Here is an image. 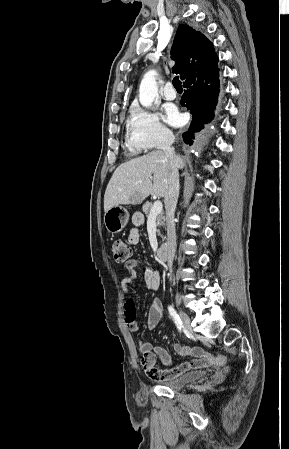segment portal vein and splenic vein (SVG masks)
I'll return each mask as SVG.
<instances>
[{
    "mask_svg": "<svg viewBox=\"0 0 289 449\" xmlns=\"http://www.w3.org/2000/svg\"><path fill=\"white\" fill-rule=\"evenodd\" d=\"M139 182L142 183L141 180ZM162 209H163L162 202L161 201H155L153 206H152V208H151L149 217L150 218L157 217L162 212Z\"/></svg>",
    "mask_w": 289,
    "mask_h": 449,
    "instance_id": "1",
    "label": "portal vein and splenic vein"
}]
</instances>
